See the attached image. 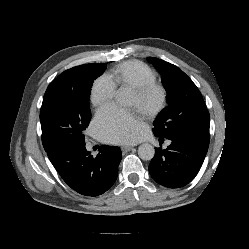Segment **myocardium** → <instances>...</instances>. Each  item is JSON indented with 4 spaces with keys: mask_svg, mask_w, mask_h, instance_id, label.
<instances>
[{
    "mask_svg": "<svg viewBox=\"0 0 249 249\" xmlns=\"http://www.w3.org/2000/svg\"><path fill=\"white\" fill-rule=\"evenodd\" d=\"M154 90L158 92L159 100L153 108L144 113V116L149 119L159 115L166 107L168 102V91L166 87L157 81H152L133 88V93L139 100H143L151 91Z\"/></svg>",
    "mask_w": 249,
    "mask_h": 249,
    "instance_id": "myocardium-1",
    "label": "myocardium"
}]
</instances>
